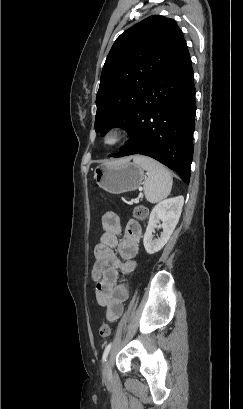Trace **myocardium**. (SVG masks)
Here are the masks:
<instances>
[{
	"label": "myocardium",
	"mask_w": 243,
	"mask_h": 409,
	"mask_svg": "<svg viewBox=\"0 0 243 409\" xmlns=\"http://www.w3.org/2000/svg\"><path fill=\"white\" fill-rule=\"evenodd\" d=\"M124 140V130L120 126L107 128L102 135V143L106 147L114 148L119 146Z\"/></svg>",
	"instance_id": "obj_1"
}]
</instances>
